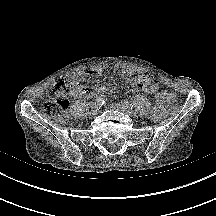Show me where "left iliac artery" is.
I'll return each instance as SVG.
<instances>
[{
    "mask_svg": "<svg viewBox=\"0 0 216 216\" xmlns=\"http://www.w3.org/2000/svg\"><path fill=\"white\" fill-rule=\"evenodd\" d=\"M122 105L125 106V107H127V108H130V109L134 108V104L131 103V102H128V101L122 102Z\"/></svg>",
    "mask_w": 216,
    "mask_h": 216,
    "instance_id": "obj_1",
    "label": "left iliac artery"
}]
</instances>
